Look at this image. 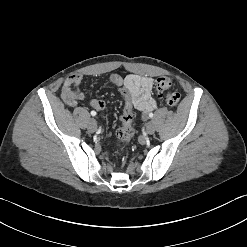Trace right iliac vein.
<instances>
[{
	"instance_id": "right-iliac-vein-1",
	"label": "right iliac vein",
	"mask_w": 247,
	"mask_h": 247,
	"mask_svg": "<svg viewBox=\"0 0 247 247\" xmlns=\"http://www.w3.org/2000/svg\"><path fill=\"white\" fill-rule=\"evenodd\" d=\"M97 129V123H96V120L95 119H90L89 120V123H88V130L90 132H95Z\"/></svg>"
}]
</instances>
